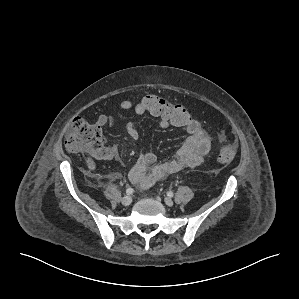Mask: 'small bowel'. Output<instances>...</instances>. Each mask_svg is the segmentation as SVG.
I'll return each instance as SVG.
<instances>
[{
    "label": "small bowel",
    "instance_id": "small-bowel-1",
    "mask_svg": "<svg viewBox=\"0 0 299 299\" xmlns=\"http://www.w3.org/2000/svg\"><path fill=\"white\" fill-rule=\"evenodd\" d=\"M119 107L123 110L134 111L138 115L146 113L140 100L137 102L124 100L119 103ZM117 122L118 118L116 116L102 114L96 118L95 125L97 127L114 126ZM170 126L172 125L168 122L160 120V127L168 128ZM184 128L188 136L170 160L158 163L156 155L152 152L139 156L129 172V179L133 184L143 189L149 188L157 181L163 180L185 168L196 167L203 162L211 147L210 136L196 119ZM125 129L132 139L138 140L140 138V133L133 122H127ZM118 153V146L113 144L102 149L95 157L99 160H112L118 156Z\"/></svg>",
    "mask_w": 299,
    "mask_h": 299
}]
</instances>
